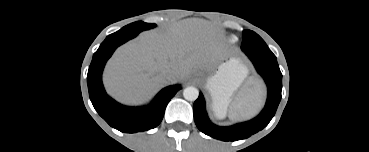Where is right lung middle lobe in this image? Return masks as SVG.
Segmentation results:
<instances>
[{
	"instance_id": "right-lung-middle-lobe-1",
	"label": "right lung middle lobe",
	"mask_w": 369,
	"mask_h": 152,
	"mask_svg": "<svg viewBox=\"0 0 369 152\" xmlns=\"http://www.w3.org/2000/svg\"><path fill=\"white\" fill-rule=\"evenodd\" d=\"M155 26H156V24H149V23H145L143 21H137V22L131 23V24L123 27L119 31L120 32L138 33L139 34L141 31L154 28Z\"/></svg>"
}]
</instances>
